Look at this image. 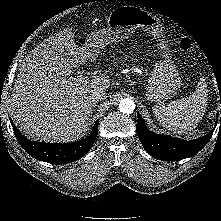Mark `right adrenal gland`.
I'll return each mask as SVG.
<instances>
[{"instance_id": "right-adrenal-gland-1", "label": "right adrenal gland", "mask_w": 221, "mask_h": 221, "mask_svg": "<svg viewBox=\"0 0 221 221\" xmlns=\"http://www.w3.org/2000/svg\"><path fill=\"white\" fill-rule=\"evenodd\" d=\"M94 107H95V103H93V109H94Z\"/></svg>"}]
</instances>
